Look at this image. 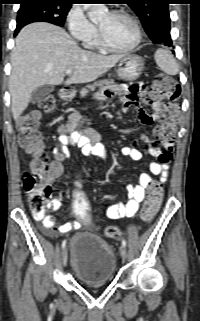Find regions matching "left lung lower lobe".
<instances>
[{"instance_id": "1", "label": "left lung lower lobe", "mask_w": 200, "mask_h": 321, "mask_svg": "<svg viewBox=\"0 0 200 321\" xmlns=\"http://www.w3.org/2000/svg\"><path fill=\"white\" fill-rule=\"evenodd\" d=\"M164 46H167V47L172 46V41H169V42L165 43Z\"/></svg>"}]
</instances>
